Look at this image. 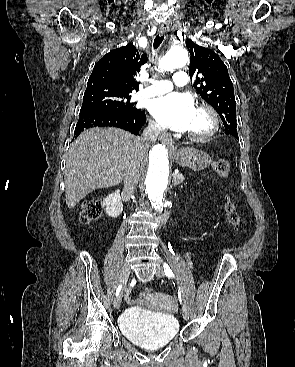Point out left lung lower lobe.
<instances>
[{
  "label": "left lung lower lobe",
  "instance_id": "0a47b994",
  "mask_svg": "<svg viewBox=\"0 0 295 367\" xmlns=\"http://www.w3.org/2000/svg\"><path fill=\"white\" fill-rule=\"evenodd\" d=\"M225 133L226 134H229V135H232V136H234L235 138H238V134L236 133V132H234V131H225Z\"/></svg>",
  "mask_w": 295,
  "mask_h": 367
}]
</instances>
